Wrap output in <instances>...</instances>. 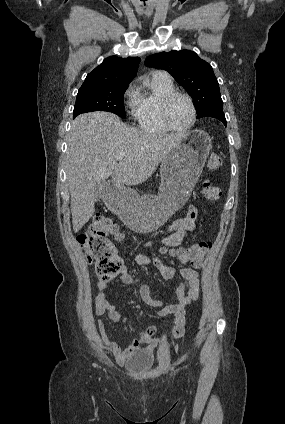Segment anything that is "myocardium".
<instances>
[{"instance_id":"myocardium-1","label":"myocardium","mask_w":285,"mask_h":424,"mask_svg":"<svg viewBox=\"0 0 285 424\" xmlns=\"http://www.w3.org/2000/svg\"><path fill=\"white\" fill-rule=\"evenodd\" d=\"M176 97L185 98L188 101L190 108H191V116H190L188 123L184 127H180V128L173 126L168 119V107H169L171 101ZM159 114H160L161 122L163 123V125L168 130L173 131V132H177V133H184V132L188 131L192 127V125L194 124V121H195L196 116H197V111H196V107H195V104L193 102V99L189 95H187L183 92L173 91V92L167 94L161 100L160 108H159Z\"/></svg>"}]
</instances>
